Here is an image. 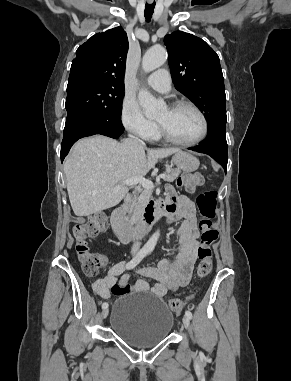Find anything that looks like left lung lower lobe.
Returning <instances> with one entry per match:
<instances>
[{"label": "left lung lower lobe", "instance_id": "left-lung-lower-lobe-1", "mask_svg": "<svg viewBox=\"0 0 291 381\" xmlns=\"http://www.w3.org/2000/svg\"><path fill=\"white\" fill-rule=\"evenodd\" d=\"M188 149L210 155L223 166L226 173L228 161L226 136L206 138L200 145Z\"/></svg>", "mask_w": 291, "mask_h": 381}]
</instances>
